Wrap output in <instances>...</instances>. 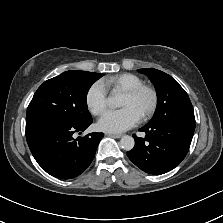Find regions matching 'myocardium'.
Segmentation results:
<instances>
[{"instance_id":"1","label":"myocardium","mask_w":223,"mask_h":223,"mask_svg":"<svg viewBox=\"0 0 223 223\" xmlns=\"http://www.w3.org/2000/svg\"><path fill=\"white\" fill-rule=\"evenodd\" d=\"M143 93H148L151 101H150V106L148 107V109L142 113L140 117L141 119L150 117L156 111L157 105H158L157 92L152 87L143 84L124 93L125 96L130 97V98H136Z\"/></svg>"}]
</instances>
